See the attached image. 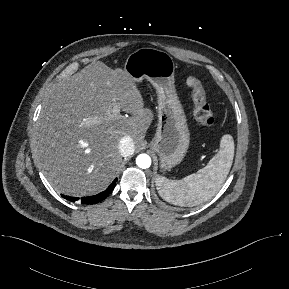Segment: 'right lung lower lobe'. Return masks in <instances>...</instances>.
Segmentation results:
<instances>
[{
    "label": "right lung lower lobe",
    "mask_w": 289,
    "mask_h": 289,
    "mask_svg": "<svg viewBox=\"0 0 289 289\" xmlns=\"http://www.w3.org/2000/svg\"><path fill=\"white\" fill-rule=\"evenodd\" d=\"M116 181H117V178L110 184V186L102 191L101 193L97 194V195H93V196H88V197H82L80 200H81V203L82 204H95V203H98L102 200H104L114 189L115 185H116ZM65 199L69 200V201H72V202H75L77 200H79V198H75V197H70V196H64L62 195Z\"/></svg>",
    "instance_id": "right-lung-lower-lobe-1"
}]
</instances>
